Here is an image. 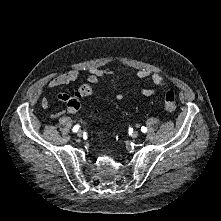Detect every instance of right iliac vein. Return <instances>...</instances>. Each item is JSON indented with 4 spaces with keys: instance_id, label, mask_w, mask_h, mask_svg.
<instances>
[{
    "instance_id": "right-iliac-vein-1",
    "label": "right iliac vein",
    "mask_w": 221,
    "mask_h": 221,
    "mask_svg": "<svg viewBox=\"0 0 221 221\" xmlns=\"http://www.w3.org/2000/svg\"><path fill=\"white\" fill-rule=\"evenodd\" d=\"M82 135H83L82 131H81V130H78V131H77V136H78L79 138H81Z\"/></svg>"
}]
</instances>
